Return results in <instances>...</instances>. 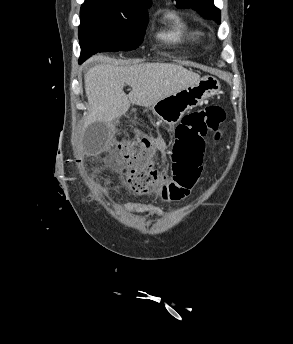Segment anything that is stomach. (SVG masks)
Segmentation results:
<instances>
[{
	"instance_id": "stomach-1",
	"label": "stomach",
	"mask_w": 293,
	"mask_h": 344,
	"mask_svg": "<svg viewBox=\"0 0 293 344\" xmlns=\"http://www.w3.org/2000/svg\"><path fill=\"white\" fill-rule=\"evenodd\" d=\"M220 90V82L214 76H204L198 82L152 105L153 113L166 124H177L186 111L198 106L204 99Z\"/></svg>"
}]
</instances>
